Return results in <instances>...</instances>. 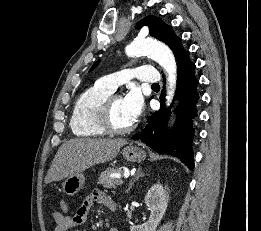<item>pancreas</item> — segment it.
Segmentation results:
<instances>
[{"mask_svg": "<svg viewBox=\"0 0 261 231\" xmlns=\"http://www.w3.org/2000/svg\"><path fill=\"white\" fill-rule=\"evenodd\" d=\"M112 174L121 175L122 171L113 167L107 168L99 175L98 182L105 188L115 189L116 185L120 184L117 183L119 181L118 178L111 177Z\"/></svg>", "mask_w": 261, "mask_h": 231, "instance_id": "cf45deb5", "label": "pancreas"}]
</instances>
